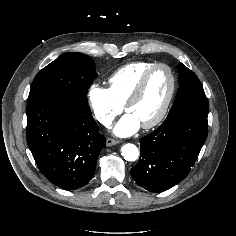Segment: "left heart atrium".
Segmentation results:
<instances>
[{"mask_svg": "<svg viewBox=\"0 0 236 236\" xmlns=\"http://www.w3.org/2000/svg\"><path fill=\"white\" fill-rule=\"evenodd\" d=\"M141 123L131 113L125 114L113 127V133L120 137L133 135L140 128Z\"/></svg>", "mask_w": 236, "mask_h": 236, "instance_id": "obj_1", "label": "left heart atrium"}]
</instances>
